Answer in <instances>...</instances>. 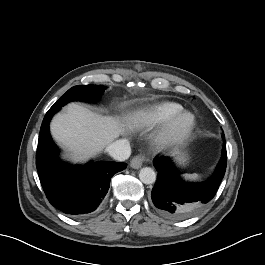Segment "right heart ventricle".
Wrapping results in <instances>:
<instances>
[{"mask_svg":"<svg viewBox=\"0 0 265 265\" xmlns=\"http://www.w3.org/2000/svg\"><path fill=\"white\" fill-rule=\"evenodd\" d=\"M181 110H183L181 104L166 101L137 111L134 115V119L140 126L152 128L165 122L168 118Z\"/></svg>","mask_w":265,"mask_h":265,"instance_id":"right-heart-ventricle-1","label":"right heart ventricle"}]
</instances>
